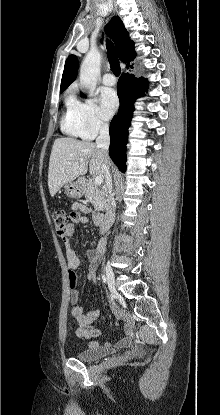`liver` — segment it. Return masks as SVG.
Instances as JSON below:
<instances>
[{"label":"liver","mask_w":220,"mask_h":415,"mask_svg":"<svg viewBox=\"0 0 220 415\" xmlns=\"http://www.w3.org/2000/svg\"><path fill=\"white\" fill-rule=\"evenodd\" d=\"M110 164L108 155L90 141L64 137L54 141L48 170V187L53 197L58 190L88 170L93 176L104 177V166Z\"/></svg>","instance_id":"6515ba94"}]
</instances>
